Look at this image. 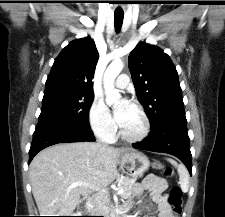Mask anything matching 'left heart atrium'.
Returning a JSON list of instances; mask_svg holds the SVG:
<instances>
[{
  "label": "left heart atrium",
  "instance_id": "obj_1",
  "mask_svg": "<svg viewBox=\"0 0 225 217\" xmlns=\"http://www.w3.org/2000/svg\"><path fill=\"white\" fill-rule=\"evenodd\" d=\"M129 106H130L129 102L126 99H123L119 102V104L114 110L115 121L120 127L125 122Z\"/></svg>",
  "mask_w": 225,
  "mask_h": 217
}]
</instances>
